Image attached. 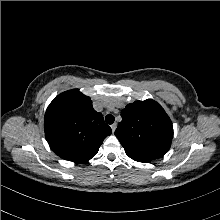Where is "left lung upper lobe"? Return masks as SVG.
Here are the masks:
<instances>
[{
    "label": "left lung upper lobe",
    "instance_id": "5c2ea615",
    "mask_svg": "<svg viewBox=\"0 0 220 220\" xmlns=\"http://www.w3.org/2000/svg\"><path fill=\"white\" fill-rule=\"evenodd\" d=\"M115 131L126 154L135 161L150 162L165 155L171 146L173 126L154 100L135 101L121 111Z\"/></svg>",
    "mask_w": 220,
    "mask_h": 220
}]
</instances>
